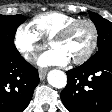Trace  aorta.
I'll use <instances>...</instances> for the list:
<instances>
[{
    "label": "aorta",
    "instance_id": "1",
    "mask_svg": "<svg viewBox=\"0 0 112 112\" xmlns=\"http://www.w3.org/2000/svg\"><path fill=\"white\" fill-rule=\"evenodd\" d=\"M48 83L55 88H64L67 84L66 74L57 69L51 70L47 75Z\"/></svg>",
    "mask_w": 112,
    "mask_h": 112
}]
</instances>
